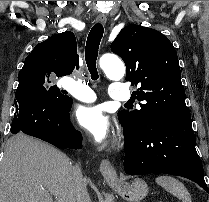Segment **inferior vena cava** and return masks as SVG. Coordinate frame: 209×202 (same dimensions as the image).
<instances>
[{
    "label": "inferior vena cava",
    "mask_w": 209,
    "mask_h": 202,
    "mask_svg": "<svg viewBox=\"0 0 209 202\" xmlns=\"http://www.w3.org/2000/svg\"><path fill=\"white\" fill-rule=\"evenodd\" d=\"M75 176V200L76 202H91L90 196L86 189V183L82 176L81 167L76 164L73 167Z\"/></svg>",
    "instance_id": "inferior-vena-cava-1"
}]
</instances>
